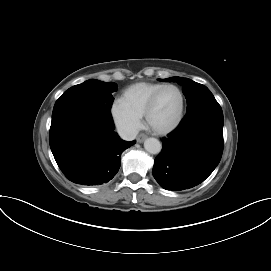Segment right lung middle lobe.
<instances>
[{
    "instance_id": "1",
    "label": "right lung middle lobe",
    "mask_w": 271,
    "mask_h": 271,
    "mask_svg": "<svg viewBox=\"0 0 271 271\" xmlns=\"http://www.w3.org/2000/svg\"><path fill=\"white\" fill-rule=\"evenodd\" d=\"M116 90L117 85L113 82L106 83L91 79L66 90L56 101L53 110L69 105L93 102H103L111 107L114 100L112 93Z\"/></svg>"
}]
</instances>
